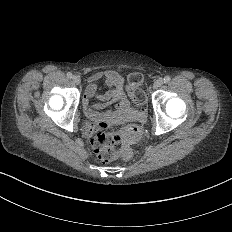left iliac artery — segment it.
Returning a JSON list of instances; mask_svg holds the SVG:
<instances>
[{
  "label": "left iliac artery",
  "mask_w": 232,
  "mask_h": 232,
  "mask_svg": "<svg viewBox=\"0 0 232 232\" xmlns=\"http://www.w3.org/2000/svg\"><path fill=\"white\" fill-rule=\"evenodd\" d=\"M171 81V77L170 76H165L163 79L164 83H169Z\"/></svg>",
  "instance_id": "1"
}]
</instances>
